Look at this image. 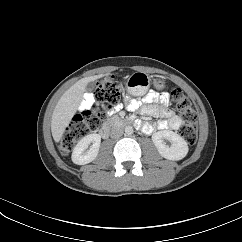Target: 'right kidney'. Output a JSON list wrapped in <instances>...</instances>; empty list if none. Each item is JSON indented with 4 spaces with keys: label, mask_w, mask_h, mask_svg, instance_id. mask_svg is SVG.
<instances>
[{
    "label": "right kidney",
    "mask_w": 242,
    "mask_h": 242,
    "mask_svg": "<svg viewBox=\"0 0 242 242\" xmlns=\"http://www.w3.org/2000/svg\"><path fill=\"white\" fill-rule=\"evenodd\" d=\"M100 143L101 136L98 134H89L83 137L72 152L73 163L85 165L92 162L98 155ZM89 145L91 146L88 149Z\"/></svg>",
    "instance_id": "1"
}]
</instances>
